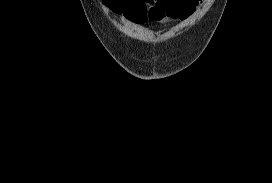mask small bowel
I'll use <instances>...</instances> for the list:
<instances>
[{"label":"small bowel","instance_id":"obj_1","mask_svg":"<svg viewBox=\"0 0 272 183\" xmlns=\"http://www.w3.org/2000/svg\"><path fill=\"white\" fill-rule=\"evenodd\" d=\"M115 13L136 24L162 21L168 17L188 18L201 0H104Z\"/></svg>","mask_w":272,"mask_h":183}]
</instances>
